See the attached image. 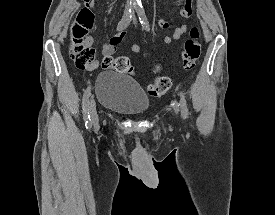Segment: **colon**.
Instances as JSON below:
<instances>
[{
  "instance_id": "5ec220e1",
  "label": "colon",
  "mask_w": 275,
  "mask_h": 215,
  "mask_svg": "<svg viewBox=\"0 0 275 215\" xmlns=\"http://www.w3.org/2000/svg\"><path fill=\"white\" fill-rule=\"evenodd\" d=\"M91 0H83V6L79 9L70 29L68 50L71 58L78 67H86L93 60L95 50L88 42L89 30L94 24V15L90 9ZM201 43L198 28L193 27L189 38L185 41L181 54L184 70L190 71L194 68L200 56ZM104 69H115L123 74H132L133 66L128 57H113L106 55L101 61ZM171 87V80L165 76H159L149 84V93L154 96H161L168 92Z\"/></svg>"
}]
</instances>
